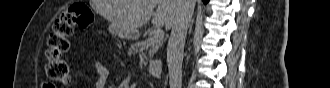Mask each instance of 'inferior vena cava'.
I'll return each instance as SVG.
<instances>
[{
  "mask_svg": "<svg viewBox=\"0 0 330 88\" xmlns=\"http://www.w3.org/2000/svg\"><path fill=\"white\" fill-rule=\"evenodd\" d=\"M179 2V11L172 24V30L167 46L170 88H181L182 85L183 49L187 29L194 10L192 0H179Z\"/></svg>",
  "mask_w": 330,
  "mask_h": 88,
  "instance_id": "inferior-vena-cava-1",
  "label": "inferior vena cava"
}]
</instances>
